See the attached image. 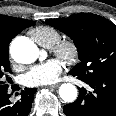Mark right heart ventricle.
Listing matches in <instances>:
<instances>
[{
  "mask_svg": "<svg viewBox=\"0 0 116 116\" xmlns=\"http://www.w3.org/2000/svg\"><path fill=\"white\" fill-rule=\"evenodd\" d=\"M32 38L43 47H52L61 39L60 32L51 26H38L30 31Z\"/></svg>",
  "mask_w": 116,
  "mask_h": 116,
  "instance_id": "1",
  "label": "right heart ventricle"
}]
</instances>
